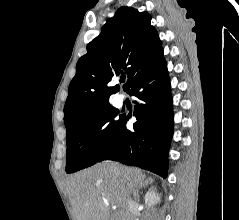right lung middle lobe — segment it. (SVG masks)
<instances>
[{"label": "right lung middle lobe", "instance_id": "dd1d6c3e", "mask_svg": "<svg viewBox=\"0 0 239 220\" xmlns=\"http://www.w3.org/2000/svg\"><path fill=\"white\" fill-rule=\"evenodd\" d=\"M111 105L93 110L75 121L67 130L66 172L72 173L97 163L113 139L121 121Z\"/></svg>", "mask_w": 239, "mask_h": 220}]
</instances>
